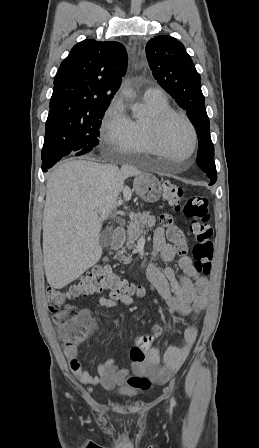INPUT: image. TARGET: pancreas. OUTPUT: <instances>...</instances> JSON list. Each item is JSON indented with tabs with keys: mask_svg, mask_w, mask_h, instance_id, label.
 Returning <instances> with one entry per match:
<instances>
[{
	"mask_svg": "<svg viewBox=\"0 0 259 448\" xmlns=\"http://www.w3.org/2000/svg\"><path fill=\"white\" fill-rule=\"evenodd\" d=\"M150 212H138V214H135V218L131 224L128 226L127 234H128V240L126 242V248L128 250H131V248H134L136 246V242L138 238H140L141 234H145L147 232L148 228H153L155 226V218L154 216H149ZM144 228H147V230H144ZM126 250L123 248L121 252H118L117 256L119 260H122L124 264H129L131 256H123L125 254Z\"/></svg>",
	"mask_w": 259,
	"mask_h": 448,
	"instance_id": "1",
	"label": "pancreas"
}]
</instances>
